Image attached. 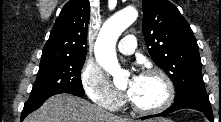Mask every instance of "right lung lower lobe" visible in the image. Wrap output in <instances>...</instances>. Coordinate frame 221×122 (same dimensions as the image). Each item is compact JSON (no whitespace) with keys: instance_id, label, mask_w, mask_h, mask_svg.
<instances>
[{"instance_id":"1","label":"right lung lower lobe","mask_w":221,"mask_h":122,"mask_svg":"<svg viewBox=\"0 0 221 122\" xmlns=\"http://www.w3.org/2000/svg\"><path fill=\"white\" fill-rule=\"evenodd\" d=\"M59 93H69L75 96H83L84 94L78 93L72 90H55L44 94H39L35 96H30L28 101L24 104L23 111L21 113L20 121H23L24 118L31 113L32 111L38 109L49 97L59 94Z\"/></svg>"}]
</instances>
